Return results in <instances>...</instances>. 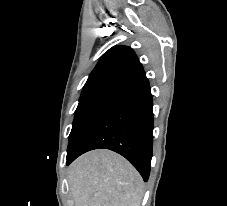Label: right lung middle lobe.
I'll return each instance as SVG.
<instances>
[{
  "label": "right lung middle lobe",
  "mask_w": 227,
  "mask_h": 206,
  "mask_svg": "<svg viewBox=\"0 0 227 206\" xmlns=\"http://www.w3.org/2000/svg\"><path fill=\"white\" fill-rule=\"evenodd\" d=\"M130 83L108 80L84 86L69 135L67 155L77 146L97 117L129 88Z\"/></svg>",
  "instance_id": "right-lung-middle-lobe-1"
}]
</instances>
